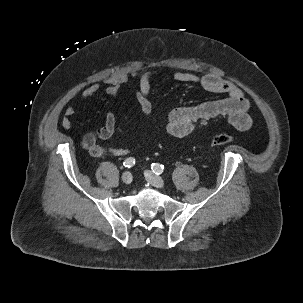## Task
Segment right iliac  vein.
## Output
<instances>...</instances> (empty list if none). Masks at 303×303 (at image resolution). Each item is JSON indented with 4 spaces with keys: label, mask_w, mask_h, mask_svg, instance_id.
<instances>
[{
    "label": "right iliac vein",
    "mask_w": 303,
    "mask_h": 303,
    "mask_svg": "<svg viewBox=\"0 0 303 303\" xmlns=\"http://www.w3.org/2000/svg\"><path fill=\"white\" fill-rule=\"evenodd\" d=\"M121 178L125 184H130L132 182V175L128 171L124 172Z\"/></svg>",
    "instance_id": "right-iliac-vein-1"
}]
</instances>
